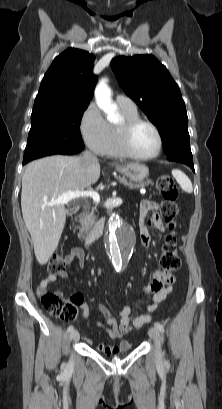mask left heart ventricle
Returning a JSON list of instances; mask_svg holds the SVG:
<instances>
[{
	"mask_svg": "<svg viewBox=\"0 0 222 409\" xmlns=\"http://www.w3.org/2000/svg\"><path fill=\"white\" fill-rule=\"evenodd\" d=\"M130 145L136 154H152L158 145L157 135L150 126L138 125L131 133Z\"/></svg>",
	"mask_w": 222,
	"mask_h": 409,
	"instance_id": "obj_1",
	"label": "left heart ventricle"
}]
</instances>
